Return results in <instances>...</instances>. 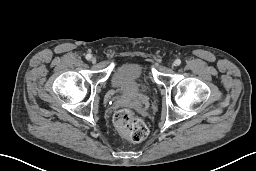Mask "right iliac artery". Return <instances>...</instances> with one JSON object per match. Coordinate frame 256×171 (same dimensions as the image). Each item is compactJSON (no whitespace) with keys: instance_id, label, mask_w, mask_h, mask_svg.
Instances as JSON below:
<instances>
[{"instance_id":"1","label":"right iliac artery","mask_w":256,"mask_h":171,"mask_svg":"<svg viewBox=\"0 0 256 171\" xmlns=\"http://www.w3.org/2000/svg\"><path fill=\"white\" fill-rule=\"evenodd\" d=\"M91 57H92V55H91V54H87V55H86V59H87V60H90V59H91Z\"/></svg>"}]
</instances>
